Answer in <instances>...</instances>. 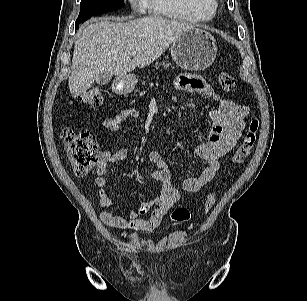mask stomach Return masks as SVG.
Listing matches in <instances>:
<instances>
[{
	"mask_svg": "<svg viewBox=\"0 0 307 301\" xmlns=\"http://www.w3.org/2000/svg\"><path fill=\"white\" fill-rule=\"evenodd\" d=\"M171 56L181 68L190 71H201L212 65L217 55V44L213 36L206 30L190 28L183 31L172 43ZM137 83L134 75L118 77L113 84L117 94L131 92Z\"/></svg>",
	"mask_w": 307,
	"mask_h": 301,
	"instance_id": "1",
	"label": "stomach"
}]
</instances>
